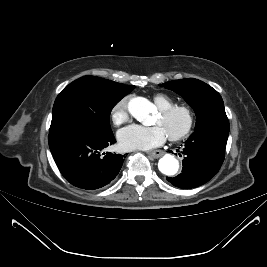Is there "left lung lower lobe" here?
Returning <instances> with one entry per match:
<instances>
[{"label": "left lung lower lobe", "instance_id": "obj_1", "mask_svg": "<svg viewBox=\"0 0 267 267\" xmlns=\"http://www.w3.org/2000/svg\"><path fill=\"white\" fill-rule=\"evenodd\" d=\"M228 134L229 126H210L195 130L182 151V173L174 178L167 177V180L184 189L208 182L224 161Z\"/></svg>", "mask_w": 267, "mask_h": 267}]
</instances>
